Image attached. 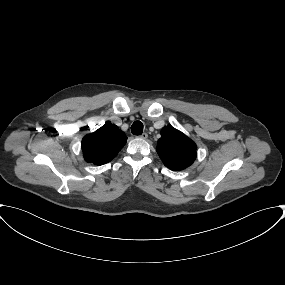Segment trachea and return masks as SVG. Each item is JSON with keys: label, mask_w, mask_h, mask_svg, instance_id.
Returning <instances> with one entry per match:
<instances>
[{"label": "trachea", "mask_w": 285, "mask_h": 285, "mask_svg": "<svg viewBox=\"0 0 285 285\" xmlns=\"http://www.w3.org/2000/svg\"><path fill=\"white\" fill-rule=\"evenodd\" d=\"M131 132L134 135H141L143 132V123L141 121H135L131 126Z\"/></svg>", "instance_id": "obj_1"}]
</instances>
